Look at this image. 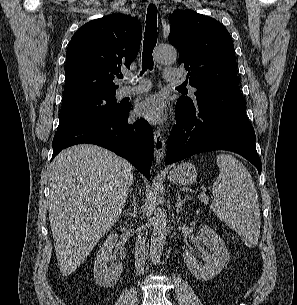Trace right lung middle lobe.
<instances>
[{"label": "right lung middle lobe", "mask_w": 297, "mask_h": 305, "mask_svg": "<svg viewBox=\"0 0 297 305\" xmlns=\"http://www.w3.org/2000/svg\"><path fill=\"white\" fill-rule=\"evenodd\" d=\"M116 91L87 94L63 101L57 132L90 117L116 115L125 105L117 104Z\"/></svg>", "instance_id": "dd1d6c3e"}]
</instances>
